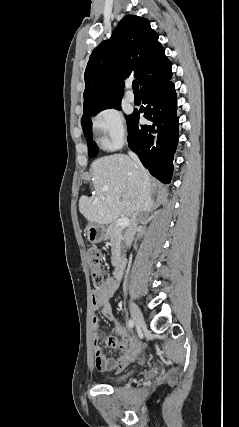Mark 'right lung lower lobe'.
Listing matches in <instances>:
<instances>
[{
	"instance_id": "1",
	"label": "right lung lower lobe",
	"mask_w": 239,
	"mask_h": 427,
	"mask_svg": "<svg viewBox=\"0 0 239 427\" xmlns=\"http://www.w3.org/2000/svg\"><path fill=\"white\" fill-rule=\"evenodd\" d=\"M171 78L172 72H169L141 89L145 107L140 112H144L151 124L139 126V112L129 115L127 120L129 147L149 172L165 184L171 180L173 155L179 139L177 97Z\"/></svg>"
}]
</instances>
